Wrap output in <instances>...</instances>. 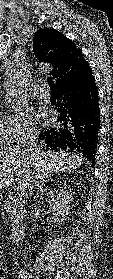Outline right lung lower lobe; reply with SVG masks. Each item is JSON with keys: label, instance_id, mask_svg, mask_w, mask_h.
Instances as JSON below:
<instances>
[{"label": "right lung lower lobe", "instance_id": "right-lung-lower-lobe-1", "mask_svg": "<svg viewBox=\"0 0 113 279\" xmlns=\"http://www.w3.org/2000/svg\"><path fill=\"white\" fill-rule=\"evenodd\" d=\"M57 124L39 139L51 150L79 152L93 164L100 128L98 90L89 65L76 78L57 87Z\"/></svg>", "mask_w": 113, "mask_h": 279}]
</instances>
